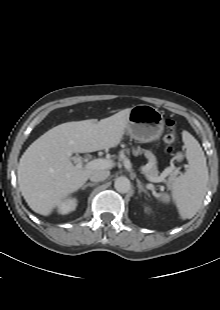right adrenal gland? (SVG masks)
I'll return each instance as SVG.
<instances>
[{"instance_id":"1","label":"right adrenal gland","mask_w":220,"mask_h":310,"mask_svg":"<svg viewBox=\"0 0 220 310\" xmlns=\"http://www.w3.org/2000/svg\"><path fill=\"white\" fill-rule=\"evenodd\" d=\"M95 185H97V183H87V184L83 185L81 189L84 190V189H86L88 186L92 187V186H95Z\"/></svg>"}]
</instances>
